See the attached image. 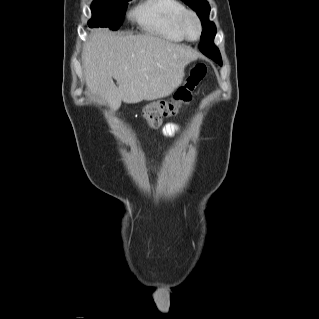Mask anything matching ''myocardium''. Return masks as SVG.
<instances>
[{"mask_svg": "<svg viewBox=\"0 0 319 319\" xmlns=\"http://www.w3.org/2000/svg\"><path fill=\"white\" fill-rule=\"evenodd\" d=\"M190 20H193L198 28V33L196 36H191L188 31L187 24ZM177 27L182 36L188 41H197L202 34V24L198 15L192 10H186L179 18L177 22Z\"/></svg>", "mask_w": 319, "mask_h": 319, "instance_id": "1", "label": "myocardium"}]
</instances>
